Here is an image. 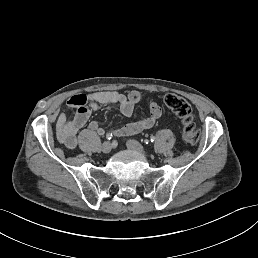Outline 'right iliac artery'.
<instances>
[{
    "instance_id": "82829eb1",
    "label": "right iliac artery",
    "mask_w": 258,
    "mask_h": 258,
    "mask_svg": "<svg viewBox=\"0 0 258 258\" xmlns=\"http://www.w3.org/2000/svg\"><path fill=\"white\" fill-rule=\"evenodd\" d=\"M112 138H113V134H112L111 132H108V133L106 134V139H107L108 141H110Z\"/></svg>"
}]
</instances>
